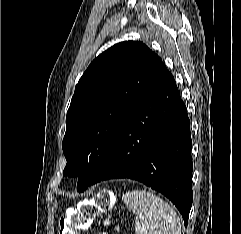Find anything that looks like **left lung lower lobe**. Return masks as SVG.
Here are the masks:
<instances>
[{"label": "left lung lower lobe", "instance_id": "0a47b994", "mask_svg": "<svg viewBox=\"0 0 241 234\" xmlns=\"http://www.w3.org/2000/svg\"><path fill=\"white\" fill-rule=\"evenodd\" d=\"M190 121L172 74L161 63L123 121L90 182L130 178L169 198L187 225L192 206Z\"/></svg>", "mask_w": 241, "mask_h": 234}]
</instances>
